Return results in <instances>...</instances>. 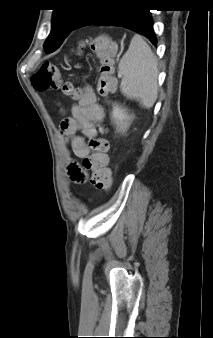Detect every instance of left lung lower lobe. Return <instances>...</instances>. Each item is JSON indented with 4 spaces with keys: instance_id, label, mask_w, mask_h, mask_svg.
I'll return each instance as SVG.
<instances>
[{
    "instance_id": "1",
    "label": "left lung lower lobe",
    "mask_w": 213,
    "mask_h": 338,
    "mask_svg": "<svg viewBox=\"0 0 213 338\" xmlns=\"http://www.w3.org/2000/svg\"><path fill=\"white\" fill-rule=\"evenodd\" d=\"M91 25L124 27L144 35L153 45L157 43L150 9L134 3V0L102 2L89 11L75 29Z\"/></svg>"
}]
</instances>
